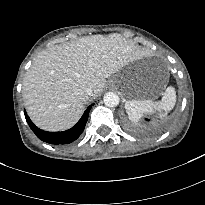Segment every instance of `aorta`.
Segmentation results:
<instances>
[{
    "label": "aorta",
    "mask_w": 205,
    "mask_h": 205,
    "mask_svg": "<svg viewBox=\"0 0 205 205\" xmlns=\"http://www.w3.org/2000/svg\"><path fill=\"white\" fill-rule=\"evenodd\" d=\"M103 101L107 107H116L119 104V96L114 92H107L103 97Z\"/></svg>",
    "instance_id": "obj_1"
}]
</instances>
